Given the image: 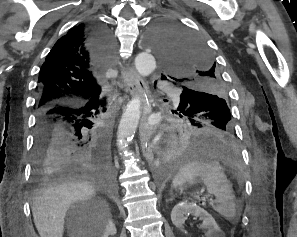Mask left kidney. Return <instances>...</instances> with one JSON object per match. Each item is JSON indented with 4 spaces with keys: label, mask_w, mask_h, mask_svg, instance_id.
<instances>
[{
    "label": "left kidney",
    "mask_w": 297,
    "mask_h": 237,
    "mask_svg": "<svg viewBox=\"0 0 297 237\" xmlns=\"http://www.w3.org/2000/svg\"><path fill=\"white\" fill-rule=\"evenodd\" d=\"M187 215H193L202 220L201 228L207 229L206 237H221V229L215 219L206 210L192 202H181L174 206L171 212L172 223L183 229Z\"/></svg>",
    "instance_id": "left-kidney-1"
}]
</instances>
